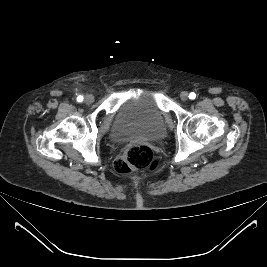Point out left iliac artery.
Listing matches in <instances>:
<instances>
[{"label": "left iliac artery", "instance_id": "44dca946", "mask_svg": "<svg viewBox=\"0 0 267 267\" xmlns=\"http://www.w3.org/2000/svg\"><path fill=\"white\" fill-rule=\"evenodd\" d=\"M195 97H196V94L194 92L190 93V95H189L190 99H195Z\"/></svg>", "mask_w": 267, "mask_h": 267}]
</instances>
